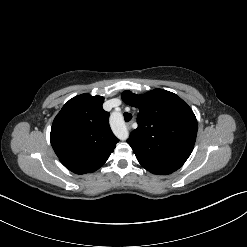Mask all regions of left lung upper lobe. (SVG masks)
Returning <instances> with one entry per match:
<instances>
[{
    "mask_svg": "<svg viewBox=\"0 0 247 247\" xmlns=\"http://www.w3.org/2000/svg\"><path fill=\"white\" fill-rule=\"evenodd\" d=\"M121 97L140 110L138 128L127 140L139 163L154 174L167 175L179 169L196 141L197 120L192 109L163 89L142 95L124 91Z\"/></svg>",
    "mask_w": 247,
    "mask_h": 247,
    "instance_id": "left-lung-upper-lobe-1",
    "label": "left lung upper lobe"
}]
</instances>
